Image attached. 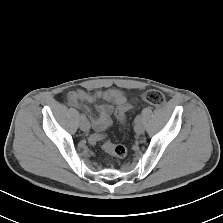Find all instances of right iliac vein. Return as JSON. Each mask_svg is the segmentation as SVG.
Wrapping results in <instances>:
<instances>
[{
    "label": "right iliac vein",
    "instance_id": "63e3f726",
    "mask_svg": "<svg viewBox=\"0 0 223 223\" xmlns=\"http://www.w3.org/2000/svg\"><path fill=\"white\" fill-rule=\"evenodd\" d=\"M80 129L83 130V131H88L90 129V123L86 118L81 119Z\"/></svg>",
    "mask_w": 223,
    "mask_h": 223
}]
</instances>
